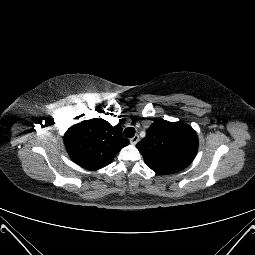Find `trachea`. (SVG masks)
<instances>
[{
    "mask_svg": "<svg viewBox=\"0 0 255 255\" xmlns=\"http://www.w3.org/2000/svg\"><path fill=\"white\" fill-rule=\"evenodd\" d=\"M135 135V129L133 127H128L124 130V136L127 138H132Z\"/></svg>",
    "mask_w": 255,
    "mask_h": 255,
    "instance_id": "3493384b",
    "label": "trachea"
}]
</instances>
